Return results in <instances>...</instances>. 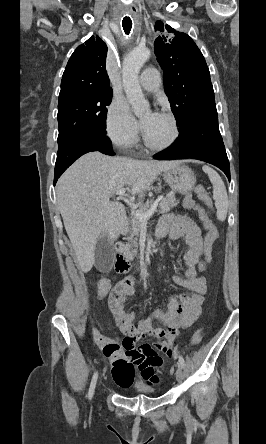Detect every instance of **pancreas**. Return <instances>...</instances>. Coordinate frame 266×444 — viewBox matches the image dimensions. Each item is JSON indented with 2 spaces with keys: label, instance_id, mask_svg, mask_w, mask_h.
<instances>
[{
  "label": "pancreas",
  "instance_id": "1",
  "mask_svg": "<svg viewBox=\"0 0 266 444\" xmlns=\"http://www.w3.org/2000/svg\"><path fill=\"white\" fill-rule=\"evenodd\" d=\"M178 201L175 198L174 192L168 193L164 198L161 199L159 203V212L160 213H167L177 205ZM152 205V202L142 204L139 207V210L147 211L149 207ZM131 228H130V237L128 238L134 246H136L137 236L141 232V229L144 225L143 221L137 218L135 215L132 217L130 222Z\"/></svg>",
  "mask_w": 266,
  "mask_h": 444
}]
</instances>
